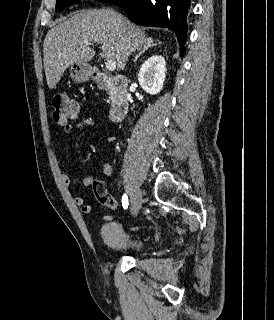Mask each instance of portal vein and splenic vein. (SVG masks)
<instances>
[{"instance_id":"obj_1","label":"portal vein and splenic vein","mask_w":274,"mask_h":320,"mask_svg":"<svg viewBox=\"0 0 274 320\" xmlns=\"http://www.w3.org/2000/svg\"><path fill=\"white\" fill-rule=\"evenodd\" d=\"M84 44H88V42H84ZM106 70H110V72H114L116 70V62L114 60H107L105 62Z\"/></svg>"}]
</instances>
